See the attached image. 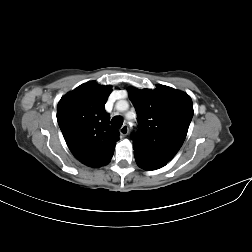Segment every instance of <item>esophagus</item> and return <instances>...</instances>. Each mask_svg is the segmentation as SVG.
I'll use <instances>...</instances> for the list:
<instances>
[{"label":"esophagus","instance_id":"1","mask_svg":"<svg viewBox=\"0 0 252 252\" xmlns=\"http://www.w3.org/2000/svg\"><path fill=\"white\" fill-rule=\"evenodd\" d=\"M129 132V128L127 124H124L121 128H120V134L123 136H126Z\"/></svg>","mask_w":252,"mask_h":252}]
</instances>
